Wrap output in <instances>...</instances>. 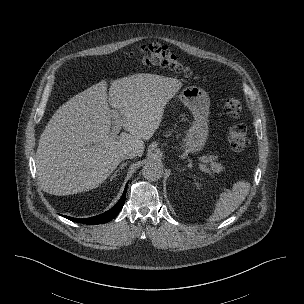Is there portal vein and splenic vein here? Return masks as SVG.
I'll return each instance as SVG.
<instances>
[{
    "label": "portal vein and splenic vein",
    "mask_w": 304,
    "mask_h": 304,
    "mask_svg": "<svg viewBox=\"0 0 304 304\" xmlns=\"http://www.w3.org/2000/svg\"><path fill=\"white\" fill-rule=\"evenodd\" d=\"M112 117L114 119L113 121V125H112V130H111V134L113 136H116L120 130H121V127H122V124H123V120L121 119V117L119 116L118 112L116 110H112ZM204 158H203V162H204ZM201 169L203 171H207L208 172V169L206 168V166H201ZM228 190V189H226Z\"/></svg>",
    "instance_id": "1"
}]
</instances>
